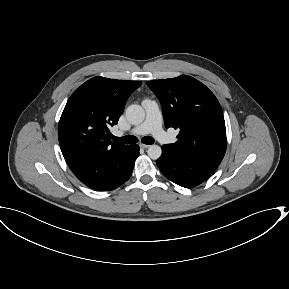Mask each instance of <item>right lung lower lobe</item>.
<instances>
[{
	"mask_svg": "<svg viewBox=\"0 0 289 289\" xmlns=\"http://www.w3.org/2000/svg\"><path fill=\"white\" fill-rule=\"evenodd\" d=\"M139 155V146L138 145H130L124 162L122 163L121 167L118 170L117 175L105 186L95 189L98 191H106L112 190L119 187L125 181H127L133 171L135 160Z\"/></svg>",
	"mask_w": 289,
	"mask_h": 289,
	"instance_id": "obj_1",
	"label": "right lung lower lobe"
}]
</instances>
